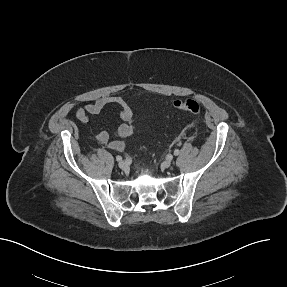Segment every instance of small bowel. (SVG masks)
Instances as JSON below:
<instances>
[{
	"label": "small bowel",
	"instance_id": "small-bowel-1",
	"mask_svg": "<svg viewBox=\"0 0 287 287\" xmlns=\"http://www.w3.org/2000/svg\"><path fill=\"white\" fill-rule=\"evenodd\" d=\"M115 105L118 107V114L123 120L111 134L106 130H100L95 135V140L115 151H122L126 147V139L132 137L136 131L134 126L135 117L128 103L119 96H103L93 103L74 111L75 117L81 122H88L91 116L99 114L105 107Z\"/></svg>",
	"mask_w": 287,
	"mask_h": 287
}]
</instances>
